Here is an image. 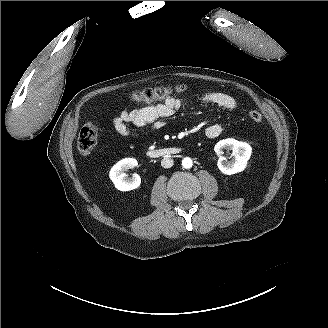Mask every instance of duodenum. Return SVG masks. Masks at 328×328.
Returning <instances> with one entry per match:
<instances>
[{
  "mask_svg": "<svg viewBox=\"0 0 328 328\" xmlns=\"http://www.w3.org/2000/svg\"><path fill=\"white\" fill-rule=\"evenodd\" d=\"M180 152L179 148L170 147V148H162V149H152L147 152L149 157L159 158V157H168L175 155Z\"/></svg>",
  "mask_w": 328,
  "mask_h": 328,
  "instance_id": "410a0bca",
  "label": "duodenum"
}]
</instances>
